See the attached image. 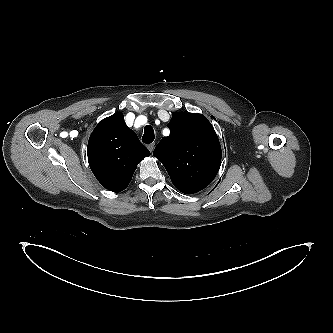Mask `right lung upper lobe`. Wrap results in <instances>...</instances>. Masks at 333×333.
<instances>
[{
    "label": "right lung upper lobe",
    "instance_id": "right-lung-upper-lobe-1",
    "mask_svg": "<svg viewBox=\"0 0 333 333\" xmlns=\"http://www.w3.org/2000/svg\"><path fill=\"white\" fill-rule=\"evenodd\" d=\"M87 154L90 168L101 185L120 192L150 152L126 125L123 114L117 113L103 119L93 130Z\"/></svg>",
    "mask_w": 333,
    "mask_h": 333
}]
</instances>
